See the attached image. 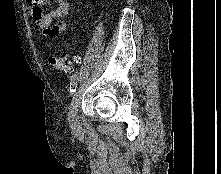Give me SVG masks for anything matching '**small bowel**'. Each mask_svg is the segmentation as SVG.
I'll use <instances>...</instances> for the list:
<instances>
[{
	"instance_id": "c3829d8e",
	"label": "small bowel",
	"mask_w": 221,
	"mask_h": 174,
	"mask_svg": "<svg viewBox=\"0 0 221 174\" xmlns=\"http://www.w3.org/2000/svg\"><path fill=\"white\" fill-rule=\"evenodd\" d=\"M31 4V16L37 27L46 37L54 38L65 31V17L70 11L68 0H54L56 6L45 13L43 6L48 0H28Z\"/></svg>"
}]
</instances>
